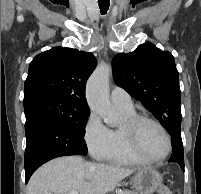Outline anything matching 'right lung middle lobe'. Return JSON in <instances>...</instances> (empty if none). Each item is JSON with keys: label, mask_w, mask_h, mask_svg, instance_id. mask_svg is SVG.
<instances>
[{"label": "right lung middle lobe", "mask_w": 201, "mask_h": 194, "mask_svg": "<svg viewBox=\"0 0 201 194\" xmlns=\"http://www.w3.org/2000/svg\"><path fill=\"white\" fill-rule=\"evenodd\" d=\"M23 105L25 116L32 113L47 115L73 129L80 137H84L89 110L55 97L37 98Z\"/></svg>", "instance_id": "1"}]
</instances>
